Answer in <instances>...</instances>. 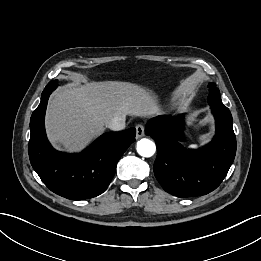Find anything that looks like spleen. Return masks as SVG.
Listing matches in <instances>:
<instances>
[{"label":"spleen","instance_id":"3e777b00","mask_svg":"<svg viewBox=\"0 0 261 261\" xmlns=\"http://www.w3.org/2000/svg\"><path fill=\"white\" fill-rule=\"evenodd\" d=\"M189 148H191V149H197L198 146L193 144V145H190Z\"/></svg>","mask_w":261,"mask_h":261}]
</instances>
